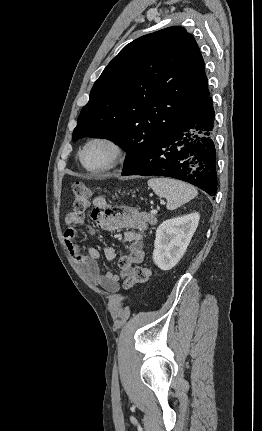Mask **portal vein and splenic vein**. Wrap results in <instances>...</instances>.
Instances as JSON below:
<instances>
[{
    "label": "portal vein and splenic vein",
    "instance_id": "1",
    "mask_svg": "<svg viewBox=\"0 0 262 431\" xmlns=\"http://www.w3.org/2000/svg\"><path fill=\"white\" fill-rule=\"evenodd\" d=\"M151 213H152V214H156V213H157V210L152 209V210H151Z\"/></svg>",
    "mask_w": 262,
    "mask_h": 431
}]
</instances>
